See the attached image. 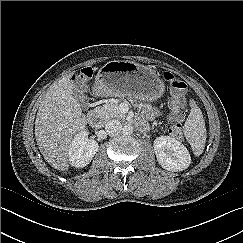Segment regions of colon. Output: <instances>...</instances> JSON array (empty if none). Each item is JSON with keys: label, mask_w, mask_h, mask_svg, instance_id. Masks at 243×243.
<instances>
[{"label": "colon", "mask_w": 243, "mask_h": 243, "mask_svg": "<svg viewBox=\"0 0 243 243\" xmlns=\"http://www.w3.org/2000/svg\"><path fill=\"white\" fill-rule=\"evenodd\" d=\"M93 76V69L91 67H85L74 75L73 80L76 83L83 84L87 82ZM165 81L169 84L174 94L172 102L183 107L184 104V92L186 90V84L182 80L175 77L172 73L166 72L164 74ZM182 109V108H181ZM184 120V112L182 110L173 113L169 117L168 132L172 137L180 138L182 136V122Z\"/></svg>", "instance_id": "obj_1"}]
</instances>
